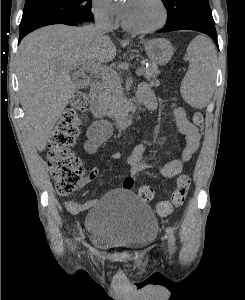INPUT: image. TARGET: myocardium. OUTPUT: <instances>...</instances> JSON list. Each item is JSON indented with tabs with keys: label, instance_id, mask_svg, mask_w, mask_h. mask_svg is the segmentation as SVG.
<instances>
[{
	"label": "myocardium",
	"instance_id": "myocardium-1",
	"mask_svg": "<svg viewBox=\"0 0 245 300\" xmlns=\"http://www.w3.org/2000/svg\"><path fill=\"white\" fill-rule=\"evenodd\" d=\"M156 3L159 5L162 13L161 20L156 25L150 27H134L127 24L121 15L120 19L122 27L130 32L139 34L151 33L164 27L168 20V11L163 0H156Z\"/></svg>",
	"mask_w": 245,
	"mask_h": 300
}]
</instances>
